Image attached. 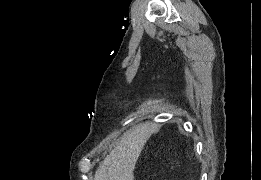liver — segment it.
Masks as SVG:
<instances>
[{
	"label": "liver",
	"mask_w": 261,
	"mask_h": 180,
	"mask_svg": "<svg viewBox=\"0 0 261 180\" xmlns=\"http://www.w3.org/2000/svg\"><path fill=\"white\" fill-rule=\"evenodd\" d=\"M150 132L149 124H139L125 132L116 150L97 168L94 180H134V168Z\"/></svg>",
	"instance_id": "liver-1"
}]
</instances>
